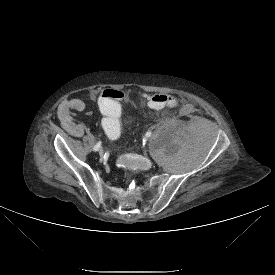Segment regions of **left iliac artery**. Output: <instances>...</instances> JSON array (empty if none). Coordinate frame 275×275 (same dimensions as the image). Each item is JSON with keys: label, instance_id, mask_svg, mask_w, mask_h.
<instances>
[{"label": "left iliac artery", "instance_id": "1", "mask_svg": "<svg viewBox=\"0 0 275 275\" xmlns=\"http://www.w3.org/2000/svg\"><path fill=\"white\" fill-rule=\"evenodd\" d=\"M151 134H152V133H151L150 131H148V132L146 133V136H147V137H150Z\"/></svg>", "mask_w": 275, "mask_h": 275}]
</instances>
